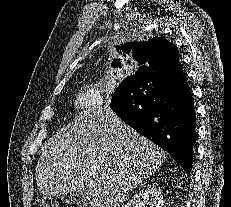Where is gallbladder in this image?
Wrapping results in <instances>:
<instances>
[{"mask_svg": "<svg viewBox=\"0 0 231 207\" xmlns=\"http://www.w3.org/2000/svg\"><path fill=\"white\" fill-rule=\"evenodd\" d=\"M66 201L68 203L76 204V205H78L80 207H85V206L88 205V200H87L86 196L82 192L70 193L67 196Z\"/></svg>", "mask_w": 231, "mask_h": 207, "instance_id": "obj_1", "label": "gallbladder"}]
</instances>
